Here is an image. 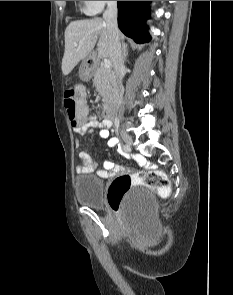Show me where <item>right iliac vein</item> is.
I'll use <instances>...</instances> for the list:
<instances>
[{"label":"right iliac vein","mask_w":233,"mask_h":295,"mask_svg":"<svg viewBox=\"0 0 233 295\" xmlns=\"http://www.w3.org/2000/svg\"><path fill=\"white\" fill-rule=\"evenodd\" d=\"M120 134L125 144H127L126 150L130 151L133 143L131 136L124 131H121Z\"/></svg>","instance_id":"63e3f726"}]
</instances>
